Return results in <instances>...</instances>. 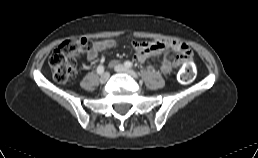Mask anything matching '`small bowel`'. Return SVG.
I'll use <instances>...</instances> for the list:
<instances>
[{
    "label": "small bowel",
    "mask_w": 258,
    "mask_h": 158,
    "mask_svg": "<svg viewBox=\"0 0 258 158\" xmlns=\"http://www.w3.org/2000/svg\"><path fill=\"white\" fill-rule=\"evenodd\" d=\"M117 46V43L113 39H104L95 43L87 53V59L93 62L97 59L99 53L103 50L113 49ZM132 47L135 51L134 61L137 63H143L147 59L159 55L164 52L173 51L177 55L174 58L165 56L160 62V71L163 74H169L173 68L179 67L185 64L191 59L190 47L179 40L175 39H160L151 42L133 41ZM113 62L111 65H114Z\"/></svg>",
    "instance_id": "1"
}]
</instances>
